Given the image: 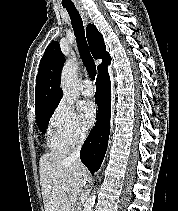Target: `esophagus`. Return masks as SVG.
Masks as SVG:
<instances>
[{
    "mask_svg": "<svg viewBox=\"0 0 178 211\" xmlns=\"http://www.w3.org/2000/svg\"><path fill=\"white\" fill-rule=\"evenodd\" d=\"M79 12H80L83 20L85 21V23H88V13H87V11L83 8H79Z\"/></svg>",
    "mask_w": 178,
    "mask_h": 211,
    "instance_id": "1",
    "label": "esophagus"
}]
</instances>
